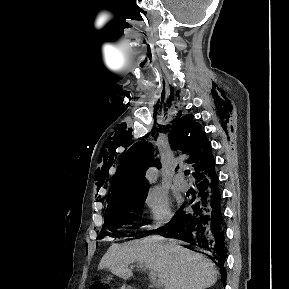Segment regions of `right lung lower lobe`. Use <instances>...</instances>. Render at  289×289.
Returning <instances> with one entry per match:
<instances>
[{
	"mask_svg": "<svg viewBox=\"0 0 289 289\" xmlns=\"http://www.w3.org/2000/svg\"><path fill=\"white\" fill-rule=\"evenodd\" d=\"M196 186L197 200L191 208L185 211L183 205L168 224L147 233V235L158 233L167 238L186 241L194 245L199 252L203 251L208 254L220 268L221 280L225 286L227 274L224 262L227 254V242L224 236L225 221L215 171L212 170L197 179Z\"/></svg>",
	"mask_w": 289,
	"mask_h": 289,
	"instance_id": "right-lung-lower-lobe-1",
	"label": "right lung lower lobe"
}]
</instances>
